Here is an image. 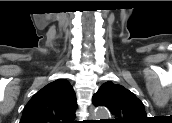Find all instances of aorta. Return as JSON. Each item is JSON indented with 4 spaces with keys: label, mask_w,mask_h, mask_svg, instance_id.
<instances>
[{
    "label": "aorta",
    "mask_w": 172,
    "mask_h": 123,
    "mask_svg": "<svg viewBox=\"0 0 172 123\" xmlns=\"http://www.w3.org/2000/svg\"><path fill=\"white\" fill-rule=\"evenodd\" d=\"M94 116L97 120L107 119L110 116V113L106 108L99 107L94 110Z\"/></svg>",
    "instance_id": "aorta-1"
}]
</instances>
